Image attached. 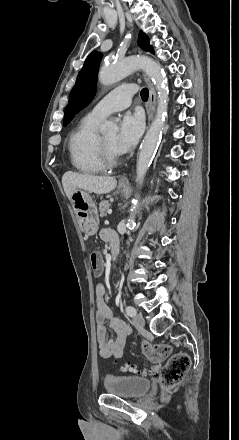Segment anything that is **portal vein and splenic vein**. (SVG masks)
<instances>
[{
  "label": "portal vein and splenic vein",
  "mask_w": 239,
  "mask_h": 440,
  "mask_svg": "<svg viewBox=\"0 0 239 440\" xmlns=\"http://www.w3.org/2000/svg\"><path fill=\"white\" fill-rule=\"evenodd\" d=\"M108 211H109V212H108V215H111V213H112L113 210H112V209H109Z\"/></svg>",
  "instance_id": "1"
}]
</instances>
